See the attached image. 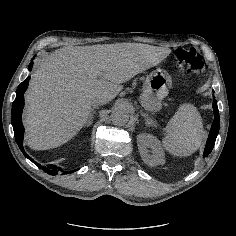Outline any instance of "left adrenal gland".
Returning a JSON list of instances; mask_svg holds the SVG:
<instances>
[{"label":"left adrenal gland","instance_id":"obj_1","mask_svg":"<svg viewBox=\"0 0 236 236\" xmlns=\"http://www.w3.org/2000/svg\"><path fill=\"white\" fill-rule=\"evenodd\" d=\"M140 114H141V116H143L145 118V121H146L145 124L146 125H154V121L151 118H149L146 113L140 111Z\"/></svg>","mask_w":236,"mask_h":236}]
</instances>
